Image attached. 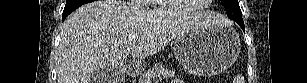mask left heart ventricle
I'll return each mask as SVG.
<instances>
[{
    "label": "left heart ventricle",
    "mask_w": 307,
    "mask_h": 83,
    "mask_svg": "<svg viewBox=\"0 0 307 83\" xmlns=\"http://www.w3.org/2000/svg\"><path fill=\"white\" fill-rule=\"evenodd\" d=\"M201 0H179L177 5L181 10H189L198 5Z\"/></svg>",
    "instance_id": "1"
}]
</instances>
